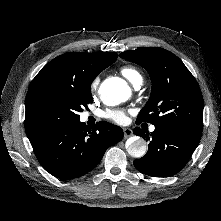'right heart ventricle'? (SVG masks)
Instances as JSON below:
<instances>
[{"label": "right heart ventricle", "instance_id": "right-heart-ventricle-1", "mask_svg": "<svg viewBox=\"0 0 221 221\" xmlns=\"http://www.w3.org/2000/svg\"><path fill=\"white\" fill-rule=\"evenodd\" d=\"M121 74L131 83L133 86L142 84L143 76L141 72L132 66H125L121 68Z\"/></svg>", "mask_w": 221, "mask_h": 221}]
</instances>
